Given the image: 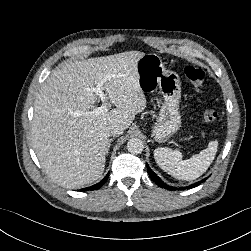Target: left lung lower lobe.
Segmentation results:
<instances>
[{
    "mask_svg": "<svg viewBox=\"0 0 251 251\" xmlns=\"http://www.w3.org/2000/svg\"><path fill=\"white\" fill-rule=\"evenodd\" d=\"M147 169H148V174L149 176L151 177V179L158 185L160 186L161 188H165V189H168V190H179V189H182V190H185V189H190V188H193V187H196L198 186L199 184H201L203 181H205L207 178L201 180V181H198L194 184H191L187 187H183V188H176V187H172V186H169L167 184H165L151 169L150 167L148 166L147 164Z\"/></svg>",
    "mask_w": 251,
    "mask_h": 251,
    "instance_id": "1",
    "label": "left lung lower lobe"
}]
</instances>
